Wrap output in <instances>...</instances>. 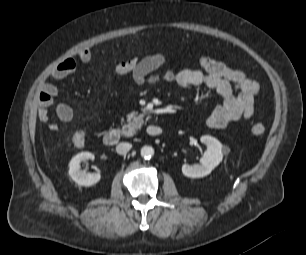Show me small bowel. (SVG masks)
<instances>
[{
  "instance_id": "c3829d8e",
  "label": "small bowel",
  "mask_w": 306,
  "mask_h": 255,
  "mask_svg": "<svg viewBox=\"0 0 306 255\" xmlns=\"http://www.w3.org/2000/svg\"><path fill=\"white\" fill-rule=\"evenodd\" d=\"M91 57L89 49H82L77 53V58L84 63L89 62ZM198 61L200 69L166 68L162 73H158L157 71L165 66L166 58L161 53H155L139 59L130 74L138 85L175 83L182 88L204 86L215 91L221 100L206 120L209 128L222 129L232 122L252 117L260 90L258 82L249 78L243 71L233 69L209 56L202 55ZM75 68V59L67 58L51 71L48 81L41 84L38 118L47 123L51 131L58 130V125L50 121L48 114V109L58 94L55 82L70 75ZM233 86L236 87L237 93H234ZM56 115L66 123L73 119V111L66 104L56 106Z\"/></svg>"
}]
</instances>
